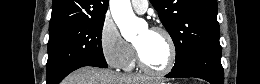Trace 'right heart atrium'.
Masks as SVG:
<instances>
[{
	"label": "right heart atrium",
	"mask_w": 260,
	"mask_h": 84,
	"mask_svg": "<svg viewBox=\"0 0 260 84\" xmlns=\"http://www.w3.org/2000/svg\"><path fill=\"white\" fill-rule=\"evenodd\" d=\"M99 47L102 57L112 68H123L129 61L133 47L122 37L110 16H105L99 31Z\"/></svg>",
	"instance_id": "d8ad5b80"
}]
</instances>
